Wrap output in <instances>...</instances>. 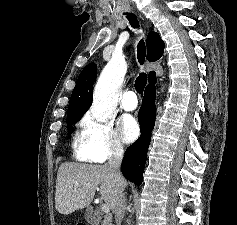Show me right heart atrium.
Segmentation results:
<instances>
[{
    "label": "right heart atrium",
    "instance_id": "1",
    "mask_svg": "<svg viewBox=\"0 0 237 225\" xmlns=\"http://www.w3.org/2000/svg\"><path fill=\"white\" fill-rule=\"evenodd\" d=\"M75 151L82 160L103 163L123 156L124 145L111 123L100 121L88 113L80 122Z\"/></svg>",
    "mask_w": 237,
    "mask_h": 225
}]
</instances>
